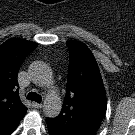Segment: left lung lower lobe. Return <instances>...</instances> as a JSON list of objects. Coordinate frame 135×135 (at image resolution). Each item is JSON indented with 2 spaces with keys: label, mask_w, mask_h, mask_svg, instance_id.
<instances>
[{
  "label": "left lung lower lobe",
  "mask_w": 135,
  "mask_h": 135,
  "mask_svg": "<svg viewBox=\"0 0 135 135\" xmlns=\"http://www.w3.org/2000/svg\"><path fill=\"white\" fill-rule=\"evenodd\" d=\"M47 125H48V131H49V133H50V135H58L56 132H54L52 129H51V127H50V125L47 123Z\"/></svg>",
  "instance_id": "left-lung-lower-lobe-1"
}]
</instances>
